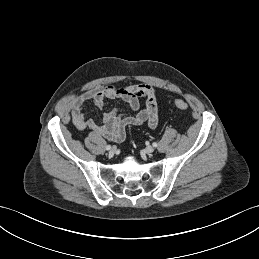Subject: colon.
Returning a JSON list of instances; mask_svg holds the SVG:
<instances>
[{"instance_id":"1","label":"colon","mask_w":259,"mask_h":259,"mask_svg":"<svg viewBox=\"0 0 259 259\" xmlns=\"http://www.w3.org/2000/svg\"><path fill=\"white\" fill-rule=\"evenodd\" d=\"M175 106L179 110H182V111H186L188 109V104L184 100H181V99H178L175 101Z\"/></svg>"}]
</instances>
